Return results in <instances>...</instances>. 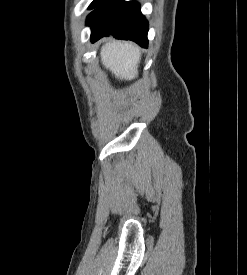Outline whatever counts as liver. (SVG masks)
I'll return each mask as SVG.
<instances>
[{
  "label": "liver",
  "instance_id": "liver-1",
  "mask_svg": "<svg viewBox=\"0 0 247 275\" xmlns=\"http://www.w3.org/2000/svg\"><path fill=\"white\" fill-rule=\"evenodd\" d=\"M100 57L103 66L122 80L138 72L141 52L132 43L113 41L102 46Z\"/></svg>",
  "mask_w": 247,
  "mask_h": 275
}]
</instances>
